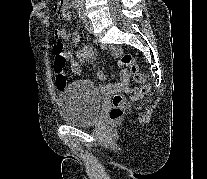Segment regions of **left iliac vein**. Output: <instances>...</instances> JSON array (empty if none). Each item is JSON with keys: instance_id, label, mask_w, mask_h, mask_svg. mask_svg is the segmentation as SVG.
Instances as JSON below:
<instances>
[{"instance_id": "left-iliac-vein-1", "label": "left iliac vein", "mask_w": 207, "mask_h": 179, "mask_svg": "<svg viewBox=\"0 0 207 179\" xmlns=\"http://www.w3.org/2000/svg\"><path fill=\"white\" fill-rule=\"evenodd\" d=\"M85 15V14H84ZM85 23H86V28H87V31L89 32V33H92L93 32V27H92V25H91V22H90V20L85 16Z\"/></svg>"}]
</instances>
